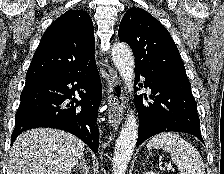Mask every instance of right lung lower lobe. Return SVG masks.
<instances>
[{"label":"right lung lower lobe","instance_id":"obj_1","mask_svg":"<svg viewBox=\"0 0 224 174\" xmlns=\"http://www.w3.org/2000/svg\"><path fill=\"white\" fill-rule=\"evenodd\" d=\"M76 93L81 100L73 97ZM101 97L102 86L96 62L72 72L26 81L15 115L11 144L26 130L51 127L74 134L96 153L99 146L97 118Z\"/></svg>","mask_w":224,"mask_h":174}]
</instances>
